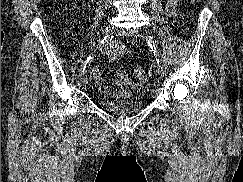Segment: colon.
Listing matches in <instances>:
<instances>
[{
    "instance_id": "colon-1",
    "label": "colon",
    "mask_w": 243,
    "mask_h": 182,
    "mask_svg": "<svg viewBox=\"0 0 243 182\" xmlns=\"http://www.w3.org/2000/svg\"><path fill=\"white\" fill-rule=\"evenodd\" d=\"M191 3H194L196 0H189ZM132 74L138 80H145L147 77V72L143 67L137 66L133 68Z\"/></svg>"
}]
</instances>
